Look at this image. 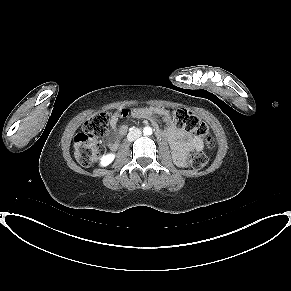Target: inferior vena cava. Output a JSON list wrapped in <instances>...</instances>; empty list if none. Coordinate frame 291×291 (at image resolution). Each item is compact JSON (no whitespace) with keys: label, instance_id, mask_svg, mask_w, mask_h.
<instances>
[{"label":"inferior vena cava","instance_id":"obj_1","mask_svg":"<svg viewBox=\"0 0 291 291\" xmlns=\"http://www.w3.org/2000/svg\"><path fill=\"white\" fill-rule=\"evenodd\" d=\"M142 132L138 128H133L130 130V132L127 135L128 141H134L135 139L139 138L141 136Z\"/></svg>","mask_w":291,"mask_h":291}]
</instances>
